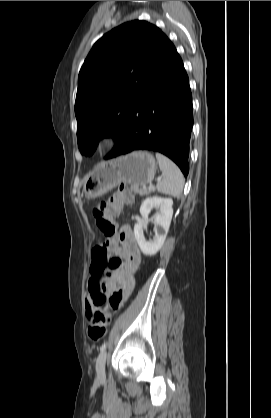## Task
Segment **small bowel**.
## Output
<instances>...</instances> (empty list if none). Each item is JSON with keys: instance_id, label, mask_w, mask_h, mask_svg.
Masks as SVG:
<instances>
[{"instance_id": "obj_1", "label": "small bowel", "mask_w": 271, "mask_h": 418, "mask_svg": "<svg viewBox=\"0 0 271 418\" xmlns=\"http://www.w3.org/2000/svg\"><path fill=\"white\" fill-rule=\"evenodd\" d=\"M119 238L121 249L117 251V255L122 259V264L113 275L101 281L102 291L109 296L110 306L115 310L119 309L133 293L135 288L134 273L141 263V252L131 230L128 227H123ZM94 285L91 277L88 283L87 311L94 303ZM117 298L119 303L115 305L114 300Z\"/></svg>"}]
</instances>
